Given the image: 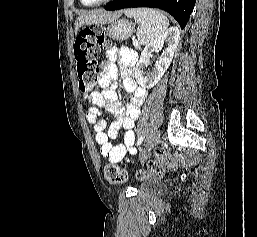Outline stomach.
<instances>
[{"label":"stomach","mask_w":257,"mask_h":237,"mask_svg":"<svg viewBox=\"0 0 257 237\" xmlns=\"http://www.w3.org/2000/svg\"><path fill=\"white\" fill-rule=\"evenodd\" d=\"M133 32V24L126 20H113L106 30L108 37L113 40L123 41L128 39Z\"/></svg>","instance_id":"obj_1"}]
</instances>
